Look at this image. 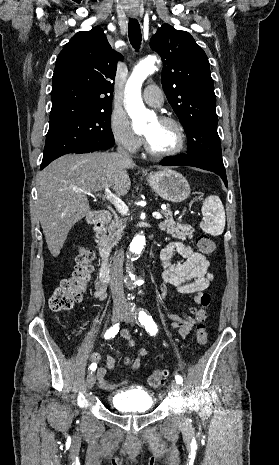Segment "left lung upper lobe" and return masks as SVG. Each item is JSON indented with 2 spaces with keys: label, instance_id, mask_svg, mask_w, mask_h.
Returning <instances> with one entry per match:
<instances>
[{
  "label": "left lung upper lobe",
  "instance_id": "obj_1",
  "mask_svg": "<svg viewBox=\"0 0 279 465\" xmlns=\"http://www.w3.org/2000/svg\"><path fill=\"white\" fill-rule=\"evenodd\" d=\"M150 46L162 57L163 90L186 132L187 155L225 170L214 84L205 52L188 32L168 24L157 30Z\"/></svg>",
  "mask_w": 279,
  "mask_h": 465
}]
</instances>
